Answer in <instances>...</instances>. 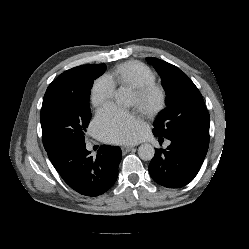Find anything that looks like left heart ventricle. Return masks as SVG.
<instances>
[{
    "label": "left heart ventricle",
    "instance_id": "obj_1",
    "mask_svg": "<svg viewBox=\"0 0 249 249\" xmlns=\"http://www.w3.org/2000/svg\"><path fill=\"white\" fill-rule=\"evenodd\" d=\"M156 101H157V95H156V93H151L148 97H147V99L145 100V102H144V107L145 108H150V107H152L155 103H156ZM131 105L133 106V107H137V105H138V100H137V97H136V95L133 93V95H132V102H131Z\"/></svg>",
    "mask_w": 249,
    "mask_h": 249
}]
</instances>
